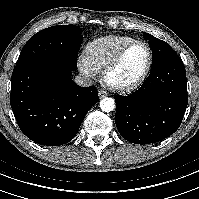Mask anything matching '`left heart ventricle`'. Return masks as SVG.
Returning <instances> with one entry per match:
<instances>
[{
	"label": "left heart ventricle",
	"instance_id": "obj_1",
	"mask_svg": "<svg viewBox=\"0 0 199 199\" xmlns=\"http://www.w3.org/2000/svg\"><path fill=\"white\" fill-rule=\"evenodd\" d=\"M146 61V49L141 45L134 46L126 53L119 67L112 72L110 81L114 84L132 82L142 72Z\"/></svg>",
	"mask_w": 199,
	"mask_h": 199
}]
</instances>
